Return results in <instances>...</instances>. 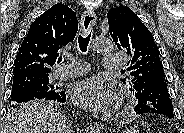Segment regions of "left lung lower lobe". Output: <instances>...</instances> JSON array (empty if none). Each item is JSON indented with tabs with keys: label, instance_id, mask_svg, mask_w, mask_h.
<instances>
[{
	"label": "left lung lower lobe",
	"instance_id": "obj_1",
	"mask_svg": "<svg viewBox=\"0 0 184 133\" xmlns=\"http://www.w3.org/2000/svg\"><path fill=\"white\" fill-rule=\"evenodd\" d=\"M135 97L137 99V105L134 108L136 114L155 113L174 118L173 105L169 98L163 70H159L151 83L142 91L136 92Z\"/></svg>",
	"mask_w": 184,
	"mask_h": 133
}]
</instances>
